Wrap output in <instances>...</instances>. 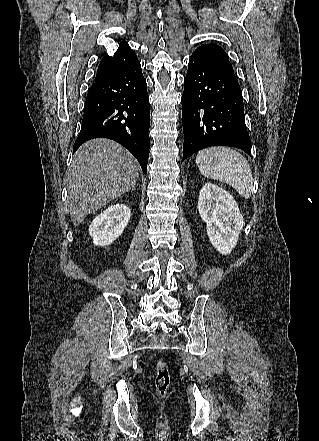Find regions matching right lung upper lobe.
Here are the masks:
<instances>
[{
  "label": "right lung upper lobe",
  "mask_w": 319,
  "mask_h": 441,
  "mask_svg": "<svg viewBox=\"0 0 319 441\" xmlns=\"http://www.w3.org/2000/svg\"><path fill=\"white\" fill-rule=\"evenodd\" d=\"M137 62L138 59L136 54L129 47L128 43L123 40L119 43V48L114 56H105L102 58L97 70L95 81L111 76L136 64Z\"/></svg>",
  "instance_id": "cb5924a9"
}]
</instances>
